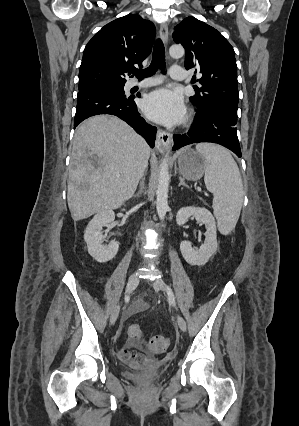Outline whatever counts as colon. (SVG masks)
Segmentation results:
<instances>
[{"label":"colon","mask_w":299,"mask_h":426,"mask_svg":"<svg viewBox=\"0 0 299 426\" xmlns=\"http://www.w3.org/2000/svg\"><path fill=\"white\" fill-rule=\"evenodd\" d=\"M128 336L133 341H138L141 338L142 331L138 324H131L127 330ZM170 341L167 337L157 335L149 339L147 347L156 353L166 352L169 348Z\"/></svg>","instance_id":"1"}]
</instances>
